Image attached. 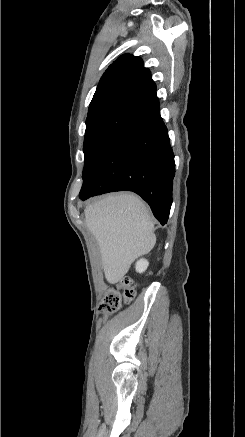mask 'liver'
<instances>
[{"label":"liver","instance_id":"liver-1","mask_svg":"<svg viewBox=\"0 0 245 437\" xmlns=\"http://www.w3.org/2000/svg\"><path fill=\"white\" fill-rule=\"evenodd\" d=\"M85 223L100 248L106 280L117 283L156 243L148 208L133 194L109 195L85 210Z\"/></svg>","mask_w":245,"mask_h":437}]
</instances>
